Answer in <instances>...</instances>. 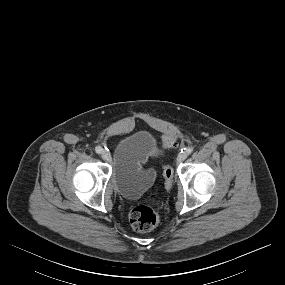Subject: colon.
Segmentation results:
<instances>
[{
	"label": "colon",
	"mask_w": 285,
	"mask_h": 285,
	"mask_svg": "<svg viewBox=\"0 0 285 285\" xmlns=\"http://www.w3.org/2000/svg\"><path fill=\"white\" fill-rule=\"evenodd\" d=\"M176 144V138L173 136H166L162 145L165 148L172 147ZM163 177L166 188H170L173 183V169L169 165L163 168ZM132 228L138 232H147L154 229L159 223L158 213L150 206L138 205L134 207L129 215Z\"/></svg>",
	"instance_id": "colon-1"
}]
</instances>
